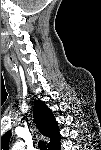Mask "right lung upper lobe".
I'll use <instances>...</instances> for the list:
<instances>
[{"label": "right lung upper lobe", "instance_id": "right-lung-upper-lobe-1", "mask_svg": "<svg viewBox=\"0 0 101 150\" xmlns=\"http://www.w3.org/2000/svg\"><path fill=\"white\" fill-rule=\"evenodd\" d=\"M33 116L39 131L50 139L48 149L54 150L60 144V134L52 111L42 101L36 100L33 106ZM10 136L11 131H8L1 137V149L8 150Z\"/></svg>", "mask_w": 101, "mask_h": 150}]
</instances>
